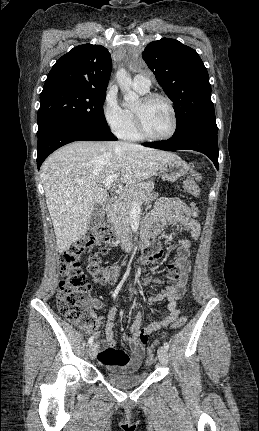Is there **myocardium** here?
I'll list each match as a JSON object with an SVG mask.
<instances>
[{"label": "myocardium", "instance_id": "obj_1", "mask_svg": "<svg viewBox=\"0 0 259 431\" xmlns=\"http://www.w3.org/2000/svg\"><path fill=\"white\" fill-rule=\"evenodd\" d=\"M155 99H161L165 101L170 109L171 116H172V126L170 131L167 134L162 136L151 135L145 127L142 112L134 109L133 114H134L135 126H136L137 132L143 139L150 140V141H164L173 137L177 131V127H178L177 112L173 101L167 95L162 93H157V92L147 93L141 98V101L143 105H147Z\"/></svg>", "mask_w": 259, "mask_h": 431}]
</instances>
